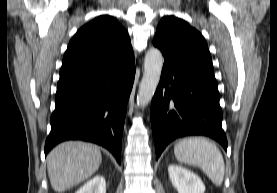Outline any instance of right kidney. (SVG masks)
Segmentation results:
<instances>
[{
    "mask_svg": "<svg viewBox=\"0 0 277 193\" xmlns=\"http://www.w3.org/2000/svg\"><path fill=\"white\" fill-rule=\"evenodd\" d=\"M75 193H106V182L104 177L100 175L95 176Z\"/></svg>",
    "mask_w": 277,
    "mask_h": 193,
    "instance_id": "1",
    "label": "right kidney"
}]
</instances>
